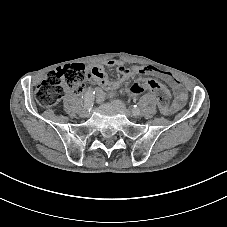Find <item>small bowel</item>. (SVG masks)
Segmentation results:
<instances>
[{
  "label": "small bowel",
  "instance_id": "1",
  "mask_svg": "<svg viewBox=\"0 0 227 227\" xmlns=\"http://www.w3.org/2000/svg\"><path fill=\"white\" fill-rule=\"evenodd\" d=\"M104 67H116L120 78L117 81H109L106 78ZM152 74L164 80L173 90L175 99L172 104L160 106L164 114H173L179 110L186 101L187 94L182 84L168 71H163L152 66L133 65L130 68L125 67L124 63L119 60H107L99 65L90 66L87 69V77L93 84H98L101 88H95L94 97L97 101L112 98L116 89L128 79L141 74Z\"/></svg>",
  "mask_w": 227,
  "mask_h": 227
}]
</instances>
